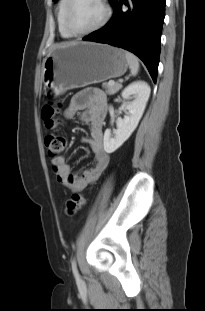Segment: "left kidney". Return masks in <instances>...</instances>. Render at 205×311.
Segmentation results:
<instances>
[{
	"instance_id": "5707ae66",
	"label": "left kidney",
	"mask_w": 205,
	"mask_h": 311,
	"mask_svg": "<svg viewBox=\"0 0 205 311\" xmlns=\"http://www.w3.org/2000/svg\"><path fill=\"white\" fill-rule=\"evenodd\" d=\"M150 87L144 81H137L127 86L122 92L124 100L133 99L130 102H124L119 108L126 111L124 119L118 118L116 121L117 130L114 136L107 129L104 133V150L107 153L116 151L133 133L144 113L146 104L150 96Z\"/></svg>"
}]
</instances>
